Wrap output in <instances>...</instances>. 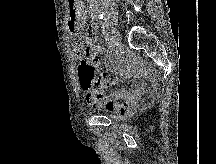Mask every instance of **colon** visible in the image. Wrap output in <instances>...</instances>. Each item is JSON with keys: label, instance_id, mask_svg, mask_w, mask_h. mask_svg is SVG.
I'll return each mask as SVG.
<instances>
[{"label": "colon", "instance_id": "5ec220e1", "mask_svg": "<svg viewBox=\"0 0 216 164\" xmlns=\"http://www.w3.org/2000/svg\"><path fill=\"white\" fill-rule=\"evenodd\" d=\"M75 48L81 49V43L75 42ZM78 75L82 88L87 92L97 89L103 80V73L88 58L80 62Z\"/></svg>", "mask_w": 216, "mask_h": 164}]
</instances>
